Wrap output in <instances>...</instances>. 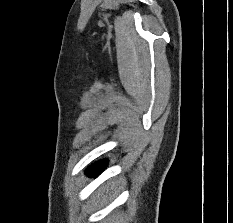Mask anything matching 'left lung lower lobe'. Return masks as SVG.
Listing matches in <instances>:
<instances>
[{
    "mask_svg": "<svg viewBox=\"0 0 233 223\" xmlns=\"http://www.w3.org/2000/svg\"><path fill=\"white\" fill-rule=\"evenodd\" d=\"M107 165L106 160H100L97 163L89 166L86 170V173L90 177H96L99 173L104 170L105 166Z\"/></svg>",
    "mask_w": 233,
    "mask_h": 223,
    "instance_id": "0a47b994",
    "label": "left lung lower lobe"
}]
</instances>
